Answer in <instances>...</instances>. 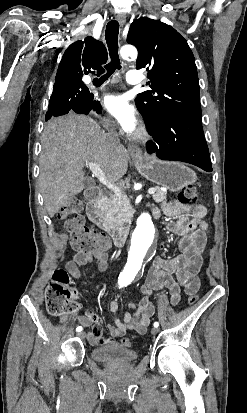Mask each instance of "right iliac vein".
Wrapping results in <instances>:
<instances>
[{"label":"right iliac vein","mask_w":247,"mask_h":413,"mask_svg":"<svg viewBox=\"0 0 247 413\" xmlns=\"http://www.w3.org/2000/svg\"><path fill=\"white\" fill-rule=\"evenodd\" d=\"M78 337L84 338V337H85V332H80V333L78 334Z\"/></svg>","instance_id":"63e3f726"}]
</instances>
